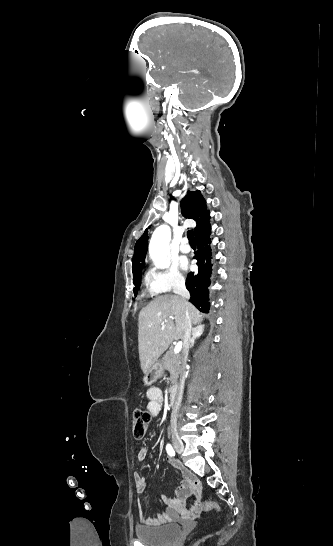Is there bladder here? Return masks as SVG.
I'll use <instances>...</instances> for the list:
<instances>
[{
  "label": "bladder",
  "instance_id": "bladder-1",
  "mask_svg": "<svg viewBox=\"0 0 333 546\" xmlns=\"http://www.w3.org/2000/svg\"><path fill=\"white\" fill-rule=\"evenodd\" d=\"M181 526L167 523L160 526H140L135 530L137 539L148 546H171L181 534Z\"/></svg>",
  "mask_w": 333,
  "mask_h": 546
}]
</instances>
